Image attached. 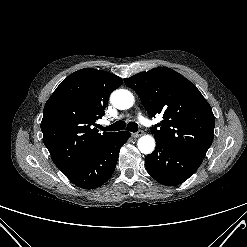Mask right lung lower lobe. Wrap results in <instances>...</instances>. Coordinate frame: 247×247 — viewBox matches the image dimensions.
Here are the masks:
<instances>
[{
  "label": "right lung lower lobe",
  "mask_w": 247,
  "mask_h": 247,
  "mask_svg": "<svg viewBox=\"0 0 247 247\" xmlns=\"http://www.w3.org/2000/svg\"><path fill=\"white\" fill-rule=\"evenodd\" d=\"M129 137L128 131L116 133L66 176L73 184L83 189L100 187L113 174L120 148Z\"/></svg>",
  "instance_id": "right-lung-lower-lobe-1"
}]
</instances>
